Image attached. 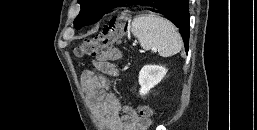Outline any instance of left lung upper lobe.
<instances>
[{"label": "left lung upper lobe", "mask_w": 257, "mask_h": 130, "mask_svg": "<svg viewBox=\"0 0 257 130\" xmlns=\"http://www.w3.org/2000/svg\"><path fill=\"white\" fill-rule=\"evenodd\" d=\"M135 0H78L80 14L74 21L76 29L97 22L102 15L123 4H134Z\"/></svg>", "instance_id": "5c2ea615"}]
</instances>
